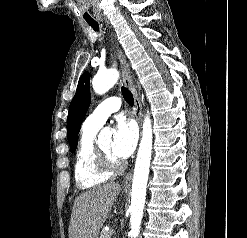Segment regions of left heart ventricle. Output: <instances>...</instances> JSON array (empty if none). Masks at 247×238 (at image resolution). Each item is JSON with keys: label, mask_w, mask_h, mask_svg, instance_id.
I'll list each match as a JSON object with an SVG mask.
<instances>
[{"label": "left heart ventricle", "mask_w": 247, "mask_h": 238, "mask_svg": "<svg viewBox=\"0 0 247 238\" xmlns=\"http://www.w3.org/2000/svg\"><path fill=\"white\" fill-rule=\"evenodd\" d=\"M100 147H101V149H102L107 155H109L111 158L118 160V159L114 156V154H113V152H112V141H111L110 139H108V140L102 142V143L100 144Z\"/></svg>", "instance_id": "left-heart-ventricle-1"}]
</instances>
